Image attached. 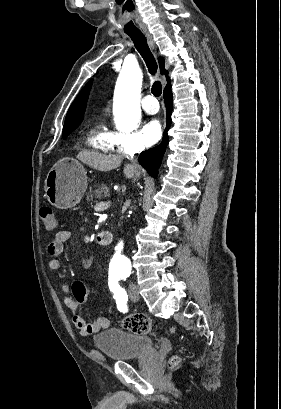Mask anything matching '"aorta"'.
<instances>
[{"label":"aorta","mask_w":281,"mask_h":409,"mask_svg":"<svg viewBox=\"0 0 281 409\" xmlns=\"http://www.w3.org/2000/svg\"><path fill=\"white\" fill-rule=\"evenodd\" d=\"M142 74L139 68L123 67L115 95L114 120L118 130L132 131L140 119V89Z\"/></svg>","instance_id":"aorta-1"}]
</instances>
